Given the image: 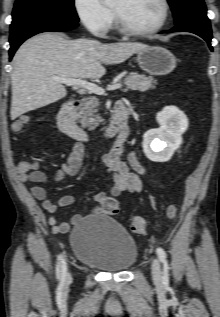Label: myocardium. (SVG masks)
<instances>
[{
  "instance_id": "obj_1",
  "label": "myocardium",
  "mask_w": 220,
  "mask_h": 317,
  "mask_svg": "<svg viewBox=\"0 0 220 317\" xmlns=\"http://www.w3.org/2000/svg\"><path fill=\"white\" fill-rule=\"evenodd\" d=\"M159 1L162 5V10H163L162 17L155 26L145 30H136L129 27L120 17V15L113 9V15L115 18L117 29L122 34L130 36V37H144V36H149V35L157 33L166 25L170 15L169 1L168 0H159Z\"/></svg>"
}]
</instances>
